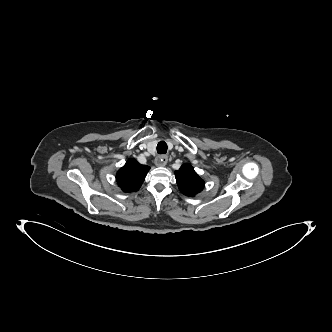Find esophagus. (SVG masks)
<instances>
[{
	"label": "esophagus",
	"instance_id": "obj_1",
	"mask_svg": "<svg viewBox=\"0 0 332 332\" xmlns=\"http://www.w3.org/2000/svg\"><path fill=\"white\" fill-rule=\"evenodd\" d=\"M168 157L166 155H158L155 158V164L157 166H165L167 164Z\"/></svg>",
	"mask_w": 332,
	"mask_h": 332
}]
</instances>
